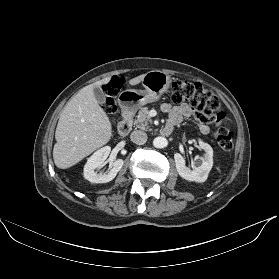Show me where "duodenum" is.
Wrapping results in <instances>:
<instances>
[{"label": "duodenum", "mask_w": 279, "mask_h": 279, "mask_svg": "<svg viewBox=\"0 0 279 279\" xmlns=\"http://www.w3.org/2000/svg\"><path fill=\"white\" fill-rule=\"evenodd\" d=\"M132 127V112L129 109H126L123 113L122 120L120 121L118 125V133L121 136H126ZM172 126L170 125H165L162 129V135L168 136L172 133Z\"/></svg>", "instance_id": "obj_1"}]
</instances>
